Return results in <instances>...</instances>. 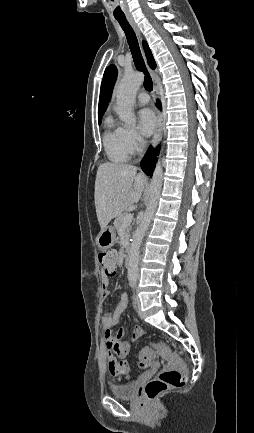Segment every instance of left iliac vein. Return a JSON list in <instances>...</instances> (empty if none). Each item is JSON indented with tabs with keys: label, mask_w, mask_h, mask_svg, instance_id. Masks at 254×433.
<instances>
[{
	"label": "left iliac vein",
	"mask_w": 254,
	"mask_h": 433,
	"mask_svg": "<svg viewBox=\"0 0 254 433\" xmlns=\"http://www.w3.org/2000/svg\"><path fill=\"white\" fill-rule=\"evenodd\" d=\"M133 302L136 307L137 312L141 315V308H140V299L137 295H134Z\"/></svg>",
	"instance_id": "obj_1"
}]
</instances>
